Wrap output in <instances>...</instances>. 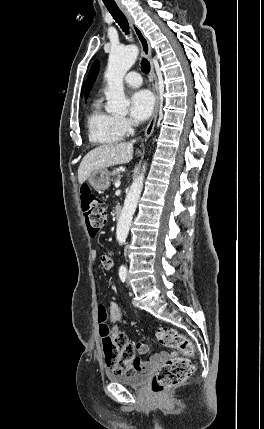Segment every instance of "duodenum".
I'll list each match as a JSON object with an SVG mask.
<instances>
[{"label":"duodenum","mask_w":264,"mask_h":429,"mask_svg":"<svg viewBox=\"0 0 264 429\" xmlns=\"http://www.w3.org/2000/svg\"><path fill=\"white\" fill-rule=\"evenodd\" d=\"M115 216L117 219H119L121 217V208L120 207H117L115 209Z\"/></svg>","instance_id":"duodenum-1"}]
</instances>
